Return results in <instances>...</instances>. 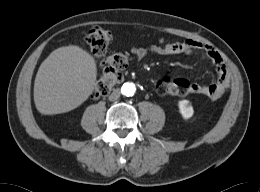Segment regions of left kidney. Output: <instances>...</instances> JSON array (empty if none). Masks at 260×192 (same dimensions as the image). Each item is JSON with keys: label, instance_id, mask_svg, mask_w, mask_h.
Returning a JSON list of instances; mask_svg holds the SVG:
<instances>
[{"label": "left kidney", "instance_id": "5707ae66", "mask_svg": "<svg viewBox=\"0 0 260 192\" xmlns=\"http://www.w3.org/2000/svg\"><path fill=\"white\" fill-rule=\"evenodd\" d=\"M179 111L184 119H189L193 116L194 110L188 100H180L178 102Z\"/></svg>", "mask_w": 260, "mask_h": 192}]
</instances>
